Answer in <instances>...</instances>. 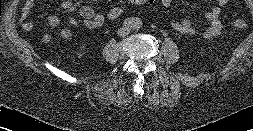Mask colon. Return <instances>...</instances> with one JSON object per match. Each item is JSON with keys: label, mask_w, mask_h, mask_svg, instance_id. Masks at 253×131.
Segmentation results:
<instances>
[{"label": "colon", "mask_w": 253, "mask_h": 131, "mask_svg": "<svg viewBox=\"0 0 253 131\" xmlns=\"http://www.w3.org/2000/svg\"><path fill=\"white\" fill-rule=\"evenodd\" d=\"M153 3V0H123L112 5L105 13L108 20H116L123 16L131 7ZM247 26L245 18L236 19L232 27L235 30H242Z\"/></svg>", "instance_id": "1"}]
</instances>
